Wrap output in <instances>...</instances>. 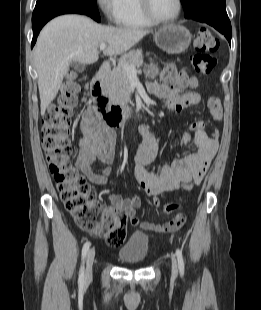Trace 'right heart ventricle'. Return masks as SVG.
<instances>
[{"instance_id": "e07e8e85", "label": "right heart ventricle", "mask_w": 261, "mask_h": 310, "mask_svg": "<svg viewBox=\"0 0 261 310\" xmlns=\"http://www.w3.org/2000/svg\"><path fill=\"white\" fill-rule=\"evenodd\" d=\"M116 24L129 29H145L154 23L143 14L139 0H118Z\"/></svg>"}]
</instances>
